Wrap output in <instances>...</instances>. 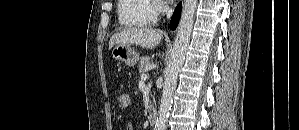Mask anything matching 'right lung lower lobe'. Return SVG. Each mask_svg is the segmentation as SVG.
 <instances>
[{
    "instance_id": "98d812e1",
    "label": "right lung lower lobe",
    "mask_w": 299,
    "mask_h": 130,
    "mask_svg": "<svg viewBox=\"0 0 299 130\" xmlns=\"http://www.w3.org/2000/svg\"><path fill=\"white\" fill-rule=\"evenodd\" d=\"M181 8H182V3L180 2V4L175 9V12H174V14L172 16V19H171V22H170V27H171L172 30L176 29L178 21L181 17Z\"/></svg>"
}]
</instances>
